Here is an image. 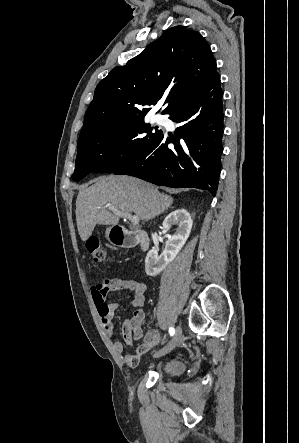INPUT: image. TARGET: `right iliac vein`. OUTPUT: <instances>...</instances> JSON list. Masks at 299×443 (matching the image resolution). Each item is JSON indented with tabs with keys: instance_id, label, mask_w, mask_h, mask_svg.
<instances>
[{
	"instance_id": "1",
	"label": "right iliac vein",
	"mask_w": 299,
	"mask_h": 443,
	"mask_svg": "<svg viewBox=\"0 0 299 443\" xmlns=\"http://www.w3.org/2000/svg\"><path fill=\"white\" fill-rule=\"evenodd\" d=\"M181 336H182V330L180 327H178L176 330V333L172 337V339L168 342V344L163 349H161L159 352H157L155 354V356L160 357V356L166 355V354L170 353L171 351H173L176 348V346L179 344Z\"/></svg>"
}]
</instances>
